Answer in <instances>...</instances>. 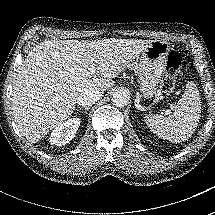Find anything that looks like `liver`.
<instances>
[{
	"label": "liver",
	"instance_id": "obj_1",
	"mask_svg": "<svg viewBox=\"0 0 215 215\" xmlns=\"http://www.w3.org/2000/svg\"><path fill=\"white\" fill-rule=\"evenodd\" d=\"M150 44V40L106 38L36 45L22 62L12 92L19 131L36 143L73 113L80 94L109 90L115 84L112 78Z\"/></svg>",
	"mask_w": 215,
	"mask_h": 215
}]
</instances>
